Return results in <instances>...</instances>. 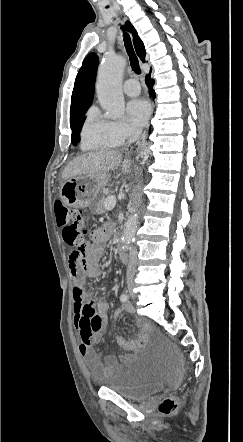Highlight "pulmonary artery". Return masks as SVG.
<instances>
[{"label": "pulmonary artery", "instance_id": "1", "mask_svg": "<svg viewBox=\"0 0 243 442\" xmlns=\"http://www.w3.org/2000/svg\"><path fill=\"white\" fill-rule=\"evenodd\" d=\"M124 92L129 96H137L140 93V86L135 78H129L123 85Z\"/></svg>", "mask_w": 243, "mask_h": 442}]
</instances>
